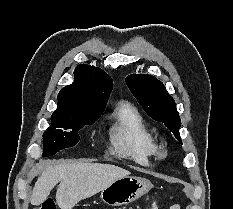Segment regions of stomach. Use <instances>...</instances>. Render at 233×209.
Here are the masks:
<instances>
[{
	"label": "stomach",
	"instance_id": "0dacf381",
	"mask_svg": "<svg viewBox=\"0 0 233 209\" xmlns=\"http://www.w3.org/2000/svg\"><path fill=\"white\" fill-rule=\"evenodd\" d=\"M153 185L145 178L125 176L112 182L103 189L100 198L110 206L127 205L148 193Z\"/></svg>",
	"mask_w": 233,
	"mask_h": 209
}]
</instances>
